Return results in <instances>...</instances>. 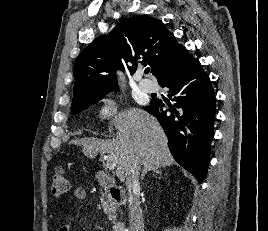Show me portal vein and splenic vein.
Returning <instances> with one entry per match:
<instances>
[{"label":"portal vein and splenic vein","mask_w":268,"mask_h":231,"mask_svg":"<svg viewBox=\"0 0 268 231\" xmlns=\"http://www.w3.org/2000/svg\"><path fill=\"white\" fill-rule=\"evenodd\" d=\"M117 165V156L114 155V154H109L107 156V163H106V167L109 169V170H114L115 167Z\"/></svg>","instance_id":"portal-vein-and-splenic-vein-1"}]
</instances>
